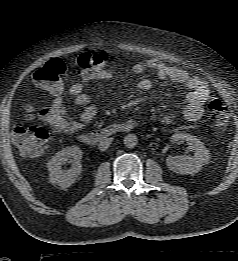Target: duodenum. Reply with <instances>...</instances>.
I'll return each mask as SVG.
<instances>
[{"instance_id": "obj_1", "label": "duodenum", "mask_w": 238, "mask_h": 261, "mask_svg": "<svg viewBox=\"0 0 238 261\" xmlns=\"http://www.w3.org/2000/svg\"><path fill=\"white\" fill-rule=\"evenodd\" d=\"M132 129L133 123L131 122L111 124L93 132L82 133L78 136V139L80 142L86 145L95 146L98 143L109 139L117 133L129 132Z\"/></svg>"}]
</instances>
